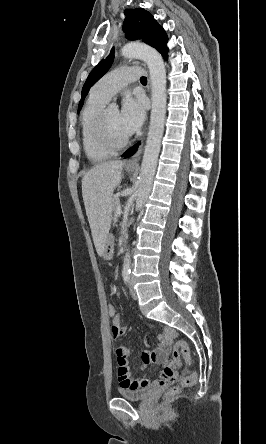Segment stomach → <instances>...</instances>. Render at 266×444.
<instances>
[{
    "label": "stomach",
    "mask_w": 266,
    "mask_h": 444,
    "mask_svg": "<svg viewBox=\"0 0 266 444\" xmlns=\"http://www.w3.org/2000/svg\"><path fill=\"white\" fill-rule=\"evenodd\" d=\"M126 170L129 173L134 172V169H126ZM102 256L105 259H111L113 256V237L111 235H108V237L106 239Z\"/></svg>",
    "instance_id": "1"
}]
</instances>
